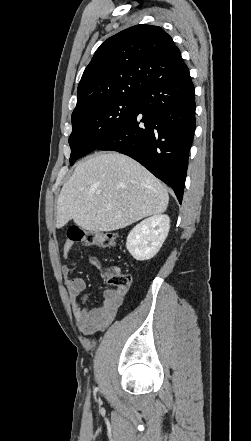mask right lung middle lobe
Returning a JSON list of instances; mask_svg holds the SVG:
<instances>
[{
	"instance_id": "right-lung-middle-lobe-1",
	"label": "right lung middle lobe",
	"mask_w": 251,
	"mask_h": 441,
	"mask_svg": "<svg viewBox=\"0 0 251 441\" xmlns=\"http://www.w3.org/2000/svg\"><path fill=\"white\" fill-rule=\"evenodd\" d=\"M140 98L141 95L136 94L108 97L94 101L72 114L70 165L97 149L118 131L134 113Z\"/></svg>"
}]
</instances>
